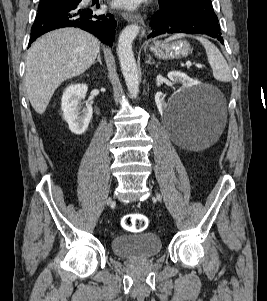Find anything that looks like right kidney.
I'll return each mask as SVG.
<instances>
[{
  "label": "right kidney",
  "mask_w": 267,
  "mask_h": 301,
  "mask_svg": "<svg viewBox=\"0 0 267 301\" xmlns=\"http://www.w3.org/2000/svg\"><path fill=\"white\" fill-rule=\"evenodd\" d=\"M86 84L70 85L63 93L61 109L69 129L76 135H82L88 128L93 109L88 102H82L87 92Z\"/></svg>",
  "instance_id": "1"
}]
</instances>
